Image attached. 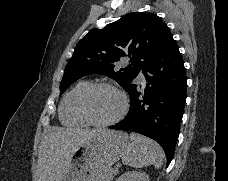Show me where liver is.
Returning a JSON list of instances; mask_svg holds the SVG:
<instances>
[{
	"label": "liver",
	"instance_id": "1",
	"mask_svg": "<svg viewBox=\"0 0 228 181\" xmlns=\"http://www.w3.org/2000/svg\"><path fill=\"white\" fill-rule=\"evenodd\" d=\"M96 131L104 133L105 129H52L44 137L38 153V181H62L75 149Z\"/></svg>",
	"mask_w": 228,
	"mask_h": 181
}]
</instances>
